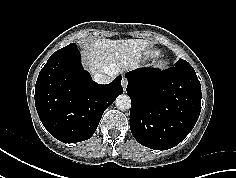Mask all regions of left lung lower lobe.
I'll return each instance as SVG.
<instances>
[{
    "mask_svg": "<svg viewBox=\"0 0 236 178\" xmlns=\"http://www.w3.org/2000/svg\"><path fill=\"white\" fill-rule=\"evenodd\" d=\"M130 129L143 146L167 150L193 129L201 111V85L192 66L127 73Z\"/></svg>",
    "mask_w": 236,
    "mask_h": 178,
    "instance_id": "left-lung-lower-lobe-1",
    "label": "left lung lower lobe"
}]
</instances>
